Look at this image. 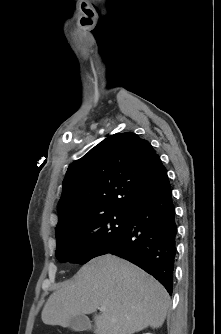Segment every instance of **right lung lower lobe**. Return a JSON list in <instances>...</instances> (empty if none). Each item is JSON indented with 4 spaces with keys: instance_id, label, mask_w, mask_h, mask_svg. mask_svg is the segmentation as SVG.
Wrapping results in <instances>:
<instances>
[{
    "instance_id": "98d812e1",
    "label": "right lung lower lobe",
    "mask_w": 221,
    "mask_h": 334,
    "mask_svg": "<svg viewBox=\"0 0 221 334\" xmlns=\"http://www.w3.org/2000/svg\"><path fill=\"white\" fill-rule=\"evenodd\" d=\"M176 236L175 208L167 178L129 213L118 243L100 255L112 253L136 264L172 294Z\"/></svg>"
}]
</instances>
